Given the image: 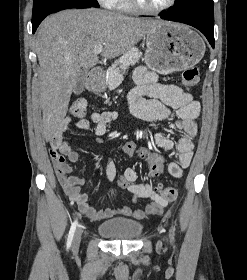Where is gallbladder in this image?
Instances as JSON below:
<instances>
[{
  "label": "gallbladder",
  "instance_id": "obj_1",
  "mask_svg": "<svg viewBox=\"0 0 247 280\" xmlns=\"http://www.w3.org/2000/svg\"><path fill=\"white\" fill-rule=\"evenodd\" d=\"M87 71L82 70L78 76L77 82L74 86L73 92L74 94L78 95L84 91L85 88V77H86Z\"/></svg>",
  "mask_w": 247,
  "mask_h": 280
}]
</instances>
